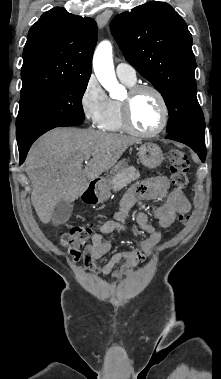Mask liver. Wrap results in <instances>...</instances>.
I'll use <instances>...</instances> for the list:
<instances>
[{
  "label": "liver",
  "mask_w": 221,
  "mask_h": 379,
  "mask_svg": "<svg viewBox=\"0 0 221 379\" xmlns=\"http://www.w3.org/2000/svg\"><path fill=\"white\" fill-rule=\"evenodd\" d=\"M137 141L131 136L92 129L56 128L45 133L30 148L25 161L33 186L31 201L39 219L50 222L61 199H78L90 181L113 168ZM87 158L91 159L83 169Z\"/></svg>",
  "instance_id": "obj_1"
}]
</instances>
